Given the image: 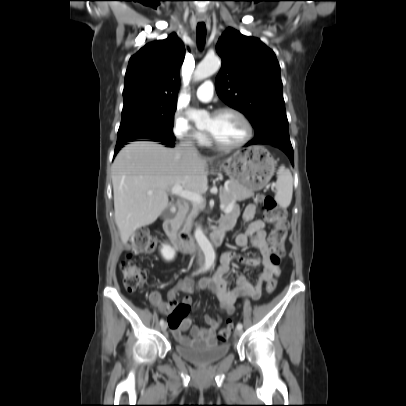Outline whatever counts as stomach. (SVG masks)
I'll return each mask as SVG.
<instances>
[{"label":"stomach","instance_id":"obj_1","mask_svg":"<svg viewBox=\"0 0 406 406\" xmlns=\"http://www.w3.org/2000/svg\"><path fill=\"white\" fill-rule=\"evenodd\" d=\"M275 166L271 154L260 145L237 151L220 165L233 183L251 191H259L267 185Z\"/></svg>","mask_w":406,"mask_h":406}]
</instances>
